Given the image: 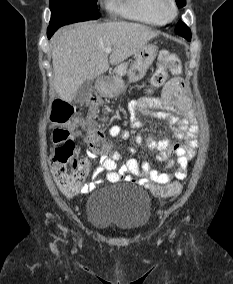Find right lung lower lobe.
<instances>
[{
  "label": "right lung lower lobe",
  "instance_id": "obj_1",
  "mask_svg": "<svg viewBox=\"0 0 233 284\" xmlns=\"http://www.w3.org/2000/svg\"><path fill=\"white\" fill-rule=\"evenodd\" d=\"M53 35V32H47L48 38H50Z\"/></svg>",
  "mask_w": 233,
  "mask_h": 284
}]
</instances>
